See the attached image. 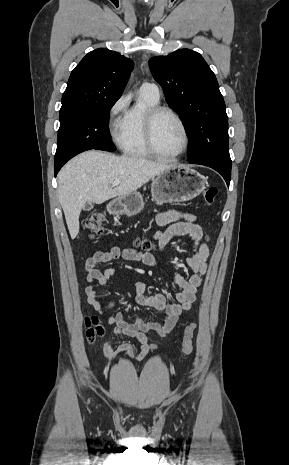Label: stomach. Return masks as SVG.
<instances>
[{"label":"stomach","mask_w":289,"mask_h":465,"mask_svg":"<svg viewBox=\"0 0 289 465\" xmlns=\"http://www.w3.org/2000/svg\"><path fill=\"white\" fill-rule=\"evenodd\" d=\"M205 185L204 177L197 171L182 165H171L153 178L151 193L153 200L159 204L184 202L197 197L205 189ZM143 206L141 194L135 191L111 201L108 210L115 215L133 216Z\"/></svg>","instance_id":"obj_1"}]
</instances>
